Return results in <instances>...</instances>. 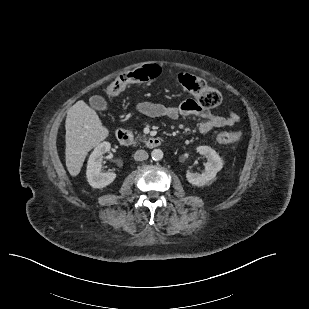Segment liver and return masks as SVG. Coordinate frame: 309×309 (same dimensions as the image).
I'll list each match as a JSON object with an SVG mask.
<instances>
[{"label": "liver", "instance_id": "6515ba94", "mask_svg": "<svg viewBox=\"0 0 309 309\" xmlns=\"http://www.w3.org/2000/svg\"><path fill=\"white\" fill-rule=\"evenodd\" d=\"M65 129L66 167L71 176H77L88 152L105 140L109 131L102 125L96 111L83 100L68 109Z\"/></svg>", "mask_w": 309, "mask_h": 309}]
</instances>
